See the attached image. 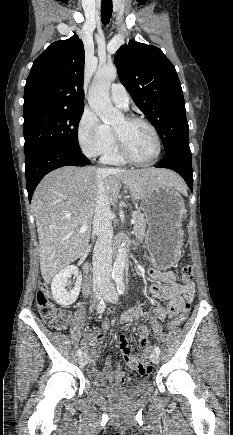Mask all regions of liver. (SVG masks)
<instances>
[{
    "label": "liver",
    "instance_id": "1",
    "mask_svg": "<svg viewBox=\"0 0 233 435\" xmlns=\"http://www.w3.org/2000/svg\"><path fill=\"white\" fill-rule=\"evenodd\" d=\"M101 180L110 204L118 201L121 183L128 186L133 199L141 200L156 185H167L185 192L183 180L165 169L127 170L65 166L47 174L32 198L43 279H51L86 251L90 224L95 215L97 181ZM86 223L87 229L80 233Z\"/></svg>",
    "mask_w": 233,
    "mask_h": 435
}]
</instances>
